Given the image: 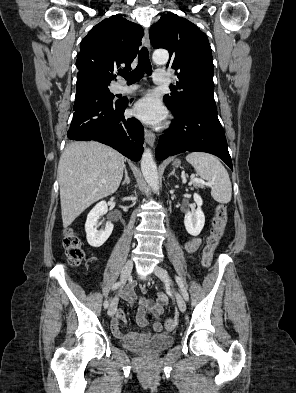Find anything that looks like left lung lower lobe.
Segmentation results:
<instances>
[{"instance_id":"1","label":"left lung lower lobe","mask_w":296,"mask_h":393,"mask_svg":"<svg viewBox=\"0 0 296 393\" xmlns=\"http://www.w3.org/2000/svg\"><path fill=\"white\" fill-rule=\"evenodd\" d=\"M173 115L170 129L159 138L156 149L158 160L185 151L207 152L221 158L233 170L215 103L197 101Z\"/></svg>"}]
</instances>
